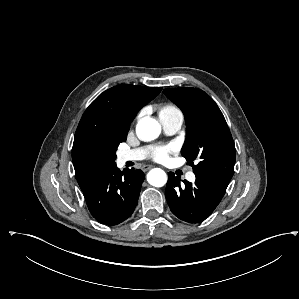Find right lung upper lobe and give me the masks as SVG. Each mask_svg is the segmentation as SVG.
Here are the masks:
<instances>
[{
  "instance_id": "obj_1",
  "label": "right lung upper lobe",
  "mask_w": 299,
  "mask_h": 299,
  "mask_svg": "<svg viewBox=\"0 0 299 299\" xmlns=\"http://www.w3.org/2000/svg\"><path fill=\"white\" fill-rule=\"evenodd\" d=\"M162 88L118 85L100 94L86 109L77 127L72 160L80 188L96 176L91 172L87 149L102 146L109 136L126 137L137 112L154 99Z\"/></svg>"
}]
</instances>
